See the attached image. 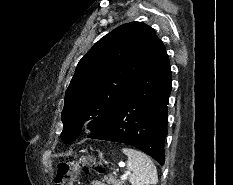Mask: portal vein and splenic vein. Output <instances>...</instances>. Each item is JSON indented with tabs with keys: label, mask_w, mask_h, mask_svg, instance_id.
I'll use <instances>...</instances> for the list:
<instances>
[{
	"label": "portal vein and splenic vein",
	"mask_w": 233,
	"mask_h": 185,
	"mask_svg": "<svg viewBox=\"0 0 233 185\" xmlns=\"http://www.w3.org/2000/svg\"><path fill=\"white\" fill-rule=\"evenodd\" d=\"M130 174V171L125 172L124 174L121 175V180L127 179V176Z\"/></svg>",
	"instance_id": "portal-vein-and-splenic-vein-1"
}]
</instances>
